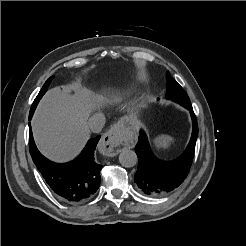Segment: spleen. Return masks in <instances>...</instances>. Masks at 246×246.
<instances>
[{"mask_svg": "<svg viewBox=\"0 0 246 246\" xmlns=\"http://www.w3.org/2000/svg\"><path fill=\"white\" fill-rule=\"evenodd\" d=\"M173 141L174 139L168 135H160L153 139L156 149H167Z\"/></svg>", "mask_w": 246, "mask_h": 246, "instance_id": "spleen-1", "label": "spleen"}]
</instances>
